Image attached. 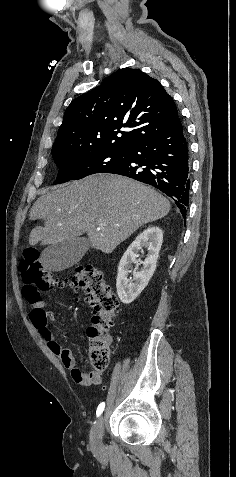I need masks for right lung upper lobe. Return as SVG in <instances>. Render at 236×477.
<instances>
[{"instance_id":"obj_1","label":"right lung upper lobe","mask_w":236,"mask_h":477,"mask_svg":"<svg viewBox=\"0 0 236 477\" xmlns=\"http://www.w3.org/2000/svg\"><path fill=\"white\" fill-rule=\"evenodd\" d=\"M178 119L176 105L159 81L139 69L123 68L71 102L52 156L90 148L126 152L133 144L166 132Z\"/></svg>"}]
</instances>
